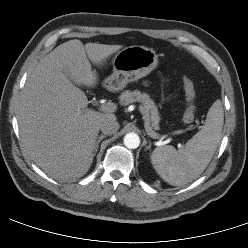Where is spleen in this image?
I'll return each mask as SVG.
<instances>
[{
  "label": "spleen",
  "mask_w": 248,
  "mask_h": 248,
  "mask_svg": "<svg viewBox=\"0 0 248 248\" xmlns=\"http://www.w3.org/2000/svg\"><path fill=\"white\" fill-rule=\"evenodd\" d=\"M224 113L221 101L213 103L202 129L182 148L161 146L154 149L151 163L167 183L182 186L198 178L211 161L221 140Z\"/></svg>",
  "instance_id": "1"
}]
</instances>
